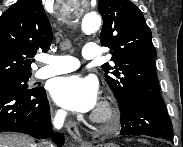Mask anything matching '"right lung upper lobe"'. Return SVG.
Masks as SVG:
<instances>
[{
  "mask_svg": "<svg viewBox=\"0 0 183 147\" xmlns=\"http://www.w3.org/2000/svg\"><path fill=\"white\" fill-rule=\"evenodd\" d=\"M52 29L39 0H20L0 16V80L31 75V57L47 52Z\"/></svg>",
  "mask_w": 183,
  "mask_h": 147,
  "instance_id": "cb5924a9",
  "label": "right lung upper lobe"
}]
</instances>
